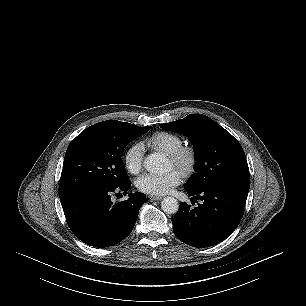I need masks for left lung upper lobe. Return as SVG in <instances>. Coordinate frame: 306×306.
<instances>
[{
    "label": "left lung upper lobe",
    "instance_id": "5c2ea615",
    "mask_svg": "<svg viewBox=\"0 0 306 306\" xmlns=\"http://www.w3.org/2000/svg\"><path fill=\"white\" fill-rule=\"evenodd\" d=\"M160 126L186 135L194 145L195 173L185 189H199L218 182L250 183L249 168L240 143L227 130L202 114Z\"/></svg>",
    "mask_w": 306,
    "mask_h": 306
}]
</instances>
